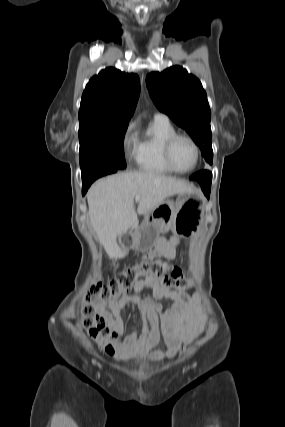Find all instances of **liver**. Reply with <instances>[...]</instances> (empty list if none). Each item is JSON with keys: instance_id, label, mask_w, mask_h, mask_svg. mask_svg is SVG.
<instances>
[{"instance_id": "6515ba94", "label": "liver", "mask_w": 285, "mask_h": 427, "mask_svg": "<svg viewBox=\"0 0 285 427\" xmlns=\"http://www.w3.org/2000/svg\"><path fill=\"white\" fill-rule=\"evenodd\" d=\"M192 192L186 182L152 172L112 175L98 180L88 191L90 223L109 257H118L117 236L137 226V213L146 215L166 198ZM136 196H140L137 212Z\"/></svg>"}]
</instances>
